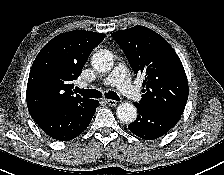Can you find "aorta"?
Masks as SVG:
<instances>
[{"mask_svg": "<svg viewBox=\"0 0 224 175\" xmlns=\"http://www.w3.org/2000/svg\"><path fill=\"white\" fill-rule=\"evenodd\" d=\"M91 64L99 72H108L114 65L113 55L108 50H99L93 54ZM117 118L124 123H131L137 118V109L131 103H121L116 110Z\"/></svg>", "mask_w": 224, "mask_h": 175, "instance_id": "762f6f07", "label": "aorta"}]
</instances>
